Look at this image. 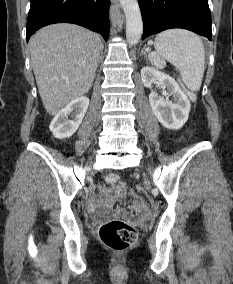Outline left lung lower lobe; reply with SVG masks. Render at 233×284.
I'll list each match as a JSON object with an SVG mask.
<instances>
[{
	"label": "left lung lower lobe",
	"instance_id": "obj_1",
	"mask_svg": "<svg viewBox=\"0 0 233 284\" xmlns=\"http://www.w3.org/2000/svg\"><path fill=\"white\" fill-rule=\"evenodd\" d=\"M143 36L184 28L212 40L208 0H139Z\"/></svg>",
	"mask_w": 233,
	"mask_h": 284
}]
</instances>
